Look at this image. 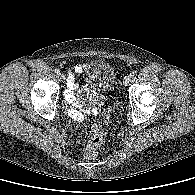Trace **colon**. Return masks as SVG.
Returning <instances> with one entry per match:
<instances>
[{"mask_svg": "<svg viewBox=\"0 0 195 195\" xmlns=\"http://www.w3.org/2000/svg\"><path fill=\"white\" fill-rule=\"evenodd\" d=\"M110 114L106 116V121H109ZM102 127L99 123L94 122L91 125V136L88 141L87 147L84 150L83 154L86 158H95L98 154V147L102 141Z\"/></svg>", "mask_w": 195, "mask_h": 195, "instance_id": "colon-1", "label": "colon"}]
</instances>
